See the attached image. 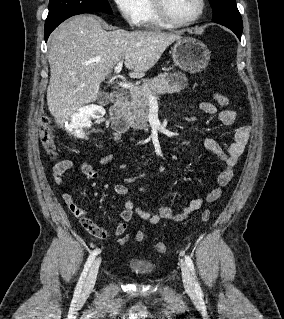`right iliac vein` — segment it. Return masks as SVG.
Here are the masks:
<instances>
[{"mask_svg":"<svg viewBox=\"0 0 284 319\" xmlns=\"http://www.w3.org/2000/svg\"><path fill=\"white\" fill-rule=\"evenodd\" d=\"M100 263H101V259L98 258L94 262L92 267L90 268L89 273H88L87 278H86L85 283H84V287H83L84 294H89L93 290L96 279H97V274H98Z\"/></svg>","mask_w":284,"mask_h":319,"instance_id":"63e3f726","label":"right iliac vein"}]
</instances>
